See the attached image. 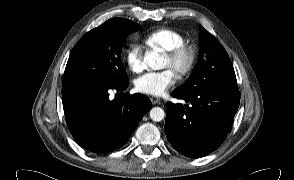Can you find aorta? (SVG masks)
Returning <instances> with one entry per match:
<instances>
[{
  "label": "aorta",
  "mask_w": 294,
  "mask_h": 180,
  "mask_svg": "<svg viewBox=\"0 0 294 180\" xmlns=\"http://www.w3.org/2000/svg\"><path fill=\"white\" fill-rule=\"evenodd\" d=\"M144 62L152 70H161L165 68L164 58L154 50L148 51L145 55ZM165 112L160 107H153L150 110V118L155 122H160L164 119Z\"/></svg>",
  "instance_id": "1"
}]
</instances>
